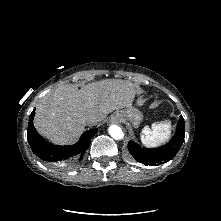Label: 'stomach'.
Instances as JSON below:
<instances>
[{
	"instance_id": "obj_1",
	"label": "stomach",
	"mask_w": 221,
	"mask_h": 221,
	"mask_svg": "<svg viewBox=\"0 0 221 221\" xmlns=\"http://www.w3.org/2000/svg\"><path fill=\"white\" fill-rule=\"evenodd\" d=\"M113 117L117 118L119 121L130 120L134 126H137L142 120L141 112L132 107L117 110L113 114Z\"/></svg>"
}]
</instances>
